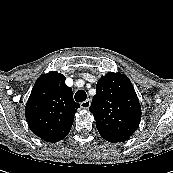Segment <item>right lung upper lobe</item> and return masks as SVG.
I'll return each instance as SVG.
<instances>
[{"label": "right lung upper lobe", "instance_id": "obj_1", "mask_svg": "<svg viewBox=\"0 0 173 173\" xmlns=\"http://www.w3.org/2000/svg\"><path fill=\"white\" fill-rule=\"evenodd\" d=\"M65 79L58 72L42 75L27 101L25 117L28 125L35 135L47 142H58L67 136L79 108Z\"/></svg>", "mask_w": 173, "mask_h": 173}]
</instances>
